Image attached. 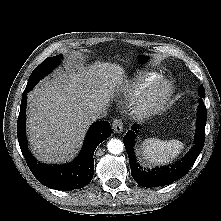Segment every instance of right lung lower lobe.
I'll list each match as a JSON object with an SVG mask.
<instances>
[{"label": "right lung lower lobe", "mask_w": 221, "mask_h": 221, "mask_svg": "<svg viewBox=\"0 0 221 221\" xmlns=\"http://www.w3.org/2000/svg\"><path fill=\"white\" fill-rule=\"evenodd\" d=\"M30 90H24L17 121V136L22 154L36 179L46 187L57 190L79 189L87 185L94 174V151L111 135L108 121L95 122L89 129L82 151L77 159L65 165H46L37 162L30 154L25 136L26 98Z\"/></svg>", "instance_id": "right-lung-lower-lobe-1"}]
</instances>
